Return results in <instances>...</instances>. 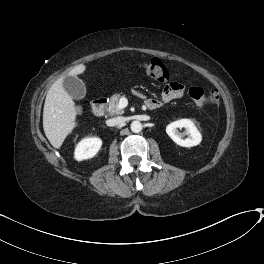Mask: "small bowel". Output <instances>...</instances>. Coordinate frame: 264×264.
<instances>
[{
  "label": "small bowel",
  "instance_id": "1",
  "mask_svg": "<svg viewBox=\"0 0 264 264\" xmlns=\"http://www.w3.org/2000/svg\"><path fill=\"white\" fill-rule=\"evenodd\" d=\"M136 95L143 99L144 96L140 92H136ZM183 96L182 88L175 82L168 83L159 98H148L143 101L145 108L154 110L160 108L165 102L181 98Z\"/></svg>",
  "mask_w": 264,
  "mask_h": 264
}]
</instances>
